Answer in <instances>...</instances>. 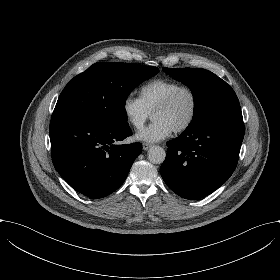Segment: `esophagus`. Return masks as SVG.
I'll use <instances>...</instances> for the list:
<instances>
[{
  "instance_id": "34e87169",
  "label": "esophagus",
  "mask_w": 280,
  "mask_h": 280,
  "mask_svg": "<svg viewBox=\"0 0 280 280\" xmlns=\"http://www.w3.org/2000/svg\"><path fill=\"white\" fill-rule=\"evenodd\" d=\"M151 146L152 144L150 143H143V150H148Z\"/></svg>"
}]
</instances>
